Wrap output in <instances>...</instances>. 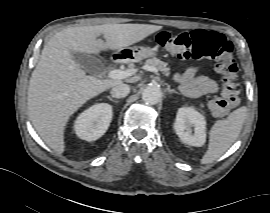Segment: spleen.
Here are the masks:
<instances>
[{"label": "spleen", "mask_w": 270, "mask_h": 213, "mask_svg": "<svg viewBox=\"0 0 270 213\" xmlns=\"http://www.w3.org/2000/svg\"><path fill=\"white\" fill-rule=\"evenodd\" d=\"M246 107L230 113L225 120H218L209 132L208 149L201 159L202 164L213 162L222 156L239 136L246 118Z\"/></svg>", "instance_id": "obj_1"}]
</instances>
